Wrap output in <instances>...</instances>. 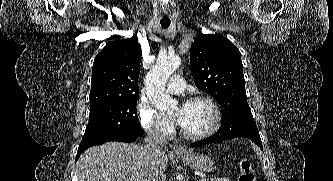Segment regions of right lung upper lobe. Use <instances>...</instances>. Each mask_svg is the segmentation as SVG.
<instances>
[{
    "label": "right lung upper lobe",
    "mask_w": 333,
    "mask_h": 181,
    "mask_svg": "<svg viewBox=\"0 0 333 181\" xmlns=\"http://www.w3.org/2000/svg\"><path fill=\"white\" fill-rule=\"evenodd\" d=\"M140 60L141 46L134 36L106 45L93 63L91 107L139 98Z\"/></svg>",
    "instance_id": "1"
}]
</instances>
